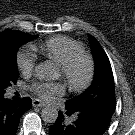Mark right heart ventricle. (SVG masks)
Segmentation results:
<instances>
[{"label":"right heart ventricle","instance_id":"right-heart-ventricle-1","mask_svg":"<svg viewBox=\"0 0 135 135\" xmlns=\"http://www.w3.org/2000/svg\"><path fill=\"white\" fill-rule=\"evenodd\" d=\"M34 51H40L45 58L57 65L64 64L72 56L84 52L82 44L66 36H55L47 39L42 45H31Z\"/></svg>","mask_w":135,"mask_h":135}]
</instances>
